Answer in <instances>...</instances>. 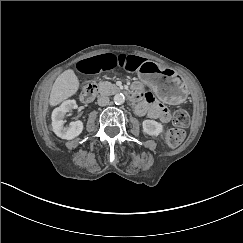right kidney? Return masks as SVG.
Masks as SVG:
<instances>
[{
    "label": "right kidney",
    "instance_id": "right-kidney-1",
    "mask_svg": "<svg viewBox=\"0 0 243 243\" xmlns=\"http://www.w3.org/2000/svg\"><path fill=\"white\" fill-rule=\"evenodd\" d=\"M78 105L75 100H66L52 112V129L53 132L62 139L71 140L77 137L83 130L81 121L70 122L69 126H64V116L72 109H77Z\"/></svg>",
    "mask_w": 243,
    "mask_h": 243
}]
</instances>
